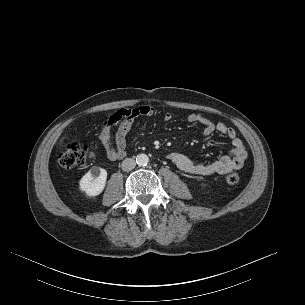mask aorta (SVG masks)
<instances>
[{
    "mask_svg": "<svg viewBox=\"0 0 305 305\" xmlns=\"http://www.w3.org/2000/svg\"><path fill=\"white\" fill-rule=\"evenodd\" d=\"M148 162H149V157L146 154L141 153L136 156V163L139 166H146Z\"/></svg>",
    "mask_w": 305,
    "mask_h": 305,
    "instance_id": "obj_1",
    "label": "aorta"
}]
</instances>
